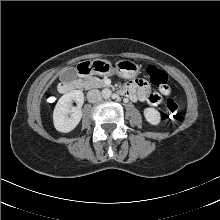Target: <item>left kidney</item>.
Segmentation results:
<instances>
[{"instance_id": "5707ae66", "label": "left kidney", "mask_w": 220, "mask_h": 220, "mask_svg": "<svg viewBox=\"0 0 220 220\" xmlns=\"http://www.w3.org/2000/svg\"><path fill=\"white\" fill-rule=\"evenodd\" d=\"M144 117L152 125H158L161 121L160 112L152 107L144 109Z\"/></svg>"}]
</instances>
